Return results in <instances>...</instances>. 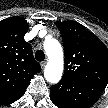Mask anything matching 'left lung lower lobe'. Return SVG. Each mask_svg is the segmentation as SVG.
<instances>
[{
  "instance_id": "1",
  "label": "left lung lower lobe",
  "mask_w": 108,
  "mask_h": 108,
  "mask_svg": "<svg viewBox=\"0 0 108 108\" xmlns=\"http://www.w3.org/2000/svg\"><path fill=\"white\" fill-rule=\"evenodd\" d=\"M104 88L99 84L62 79L50 88V99L58 108H90Z\"/></svg>"
}]
</instances>
